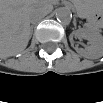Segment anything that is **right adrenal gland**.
I'll use <instances>...</instances> for the list:
<instances>
[{"label": "right adrenal gland", "mask_w": 103, "mask_h": 103, "mask_svg": "<svg viewBox=\"0 0 103 103\" xmlns=\"http://www.w3.org/2000/svg\"><path fill=\"white\" fill-rule=\"evenodd\" d=\"M33 27H34V26L32 25V26H31V33L33 32Z\"/></svg>", "instance_id": "obj_1"}]
</instances>
